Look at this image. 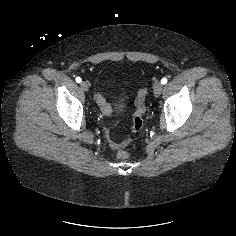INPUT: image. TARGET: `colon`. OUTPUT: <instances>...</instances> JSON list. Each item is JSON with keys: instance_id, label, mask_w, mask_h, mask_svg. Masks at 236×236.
Instances as JSON below:
<instances>
[{"instance_id": "5ec220e1", "label": "colon", "mask_w": 236, "mask_h": 236, "mask_svg": "<svg viewBox=\"0 0 236 236\" xmlns=\"http://www.w3.org/2000/svg\"><path fill=\"white\" fill-rule=\"evenodd\" d=\"M144 96H145V90H141L138 95L137 109L135 111V114L133 117V123H132V127H131V130L133 132L139 131L143 126V114L145 111L144 103H143ZM117 156L120 159H125L129 156V153L126 150L121 149L117 152Z\"/></svg>"}]
</instances>
